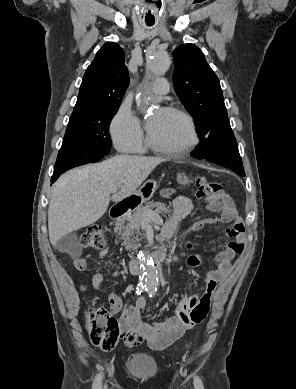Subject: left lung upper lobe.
Listing matches in <instances>:
<instances>
[{
  "instance_id": "left-lung-upper-lobe-1",
  "label": "left lung upper lobe",
  "mask_w": 296,
  "mask_h": 389,
  "mask_svg": "<svg viewBox=\"0 0 296 389\" xmlns=\"http://www.w3.org/2000/svg\"><path fill=\"white\" fill-rule=\"evenodd\" d=\"M173 82L177 96L195 119L199 138L228 120L219 79L193 44H183L173 52Z\"/></svg>"
}]
</instances>
